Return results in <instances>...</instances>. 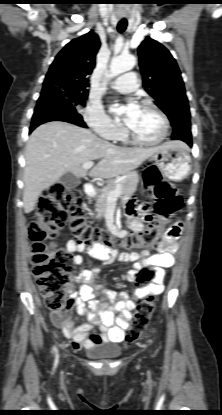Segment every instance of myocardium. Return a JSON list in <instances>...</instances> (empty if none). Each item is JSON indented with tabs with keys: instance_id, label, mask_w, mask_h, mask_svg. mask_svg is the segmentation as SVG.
Returning <instances> with one entry per match:
<instances>
[{
	"instance_id": "1",
	"label": "myocardium",
	"mask_w": 222,
	"mask_h": 415,
	"mask_svg": "<svg viewBox=\"0 0 222 415\" xmlns=\"http://www.w3.org/2000/svg\"><path fill=\"white\" fill-rule=\"evenodd\" d=\"M141 107L152 109L159 115V117L161 118L163 122V131L159 138L152 140V141H148V140L139 138L129 127L125 125L124 134L126 138L132 143L137 144V145H142V146H155V145L161 144L166 139L169 129H170V121H169L168 116L165 114L163 110H161L157 105H155L154 103L150 101H143L141 103Z\"/></svg>"
}]
</instances>
